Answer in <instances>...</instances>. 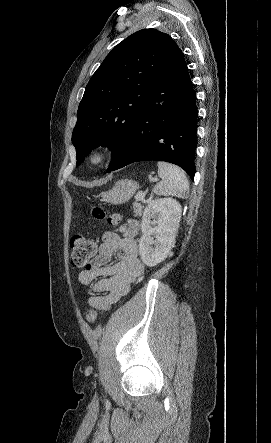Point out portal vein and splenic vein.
I'll use <instances>...</instances> for the list:
<instances>
[{
    "label": "portal vein and splenic vein",
    "instance_id": "1",
    "mask_svg": "<svg viewBox=\"0 0 271 443\" xmlns=\"http://www.w3.org/2000/svg\"><path fill=\"white\" fill-rule=\"evenodd\" d=\"M152 182H157V178H152ZM145 195H146V189H140L136 193V200H138V202H141V200L144 199Z\"/></svg>",
    "mask_w": 271,
    "mask_h": 443
}]
</instances>
